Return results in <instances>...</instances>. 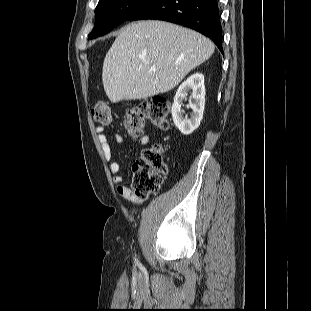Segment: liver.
<instances>
[{"instance_id":"obj_1","label":"liver","mask_w":311,"mask_h":311,"mask_svg":"<svg viewBox=\"0 0 311 311\" xmlns=\"http://www.w3.org/2000/svg\"><path fill=\"white\" fill-rule=\"evenodd\" d=\"M214 49L210 39L178 25L157 20L131 23L105 56V93L117 103L168 92L209 59Z\"/></svg>"}]
</instances>
